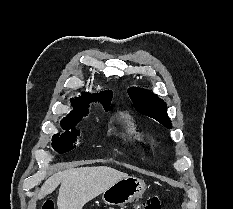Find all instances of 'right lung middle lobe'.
<instances>
[{"instance_id":"dd1d6c3e","label":"right lung middle lobe","mask_w":233,"mask_h":209,"mask_svg":"<svg viewBox=\"0 0 233 209\" xmlns=\"http://www.w3.org/2000/svg\"><path fill=\"white\" fill-rule=\"evenodd\" d=\"M86 114L87 112L72 113V114L67 115V117L61 121L62 128L65 130L71 129V132L66 131L65 133L61 135L55 134L53 136L52 145H53V148L57 152L64 153L74 148V146H72V143L74 140H76V136L80 134L74 127L81 120V118Z\"/></svg>"}]
</instances>
